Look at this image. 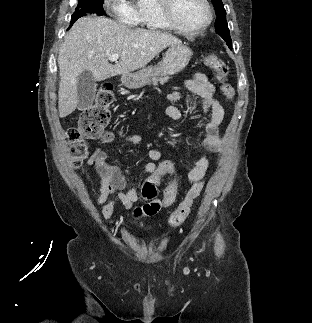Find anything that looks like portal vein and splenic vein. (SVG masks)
<instances>
[{
    "mask_svg": "<svg viewBox=\"0 0 312 323\" xmlns=\"http://www.w3.org/2000/svg\"><path fill=\"white\" fill-rule=\"evenodd\" d=\"M108 60H110V62H117V60H119V54H112V56H108Z\"/></svg>",
    "mask_w": 312,
    "mask_h": 323,
    "instance_id": "portal-vein-and-splenic-vein-1",
    "label": "portal vein and splenic vein"
}]
</instances>
